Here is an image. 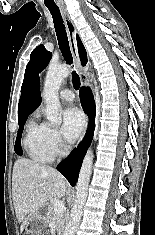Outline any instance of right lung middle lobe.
Here are the masks:
<instances>
[{"mask_svg":"<svg viewBox=\"0 0 155 235\" xmlns=\"http://www.w3.org/2000/svg\"><path fill=\"white\" fill-rule=\"evenodd\" d=\"M26 120H27V117L18 119L19 130H18V133H17V138H16V142H15V147H14V150H15L16 154H18V155L23 154V151H22V148H21V135H22V132H23V129H24V124H25Z\"/></svg>","mask_w":155,"mask_h":235,"instance_id":"obj_1","label":"right lung middle lobe"}]
</instances>
